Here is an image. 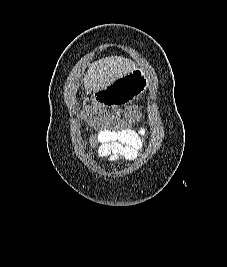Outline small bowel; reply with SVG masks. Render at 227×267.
Wrapping results in <instances>:
<instances>
[{
	"label": "small bowel",
	"mask_w": 227,
	"mask_h": 267,
	"mask_svg": "<svg viewBox=\"0 0 227 267\" xmlns=\"http://www.w3.org/2000/svg\"><path fill=\"white\" fill-rule=\"evenodd\" d=\"M147 134L148 129L144 126L138 130H100L89 138V143L101 158L109 161L134 160L139 156L143 146L142 139Z\"/></svg>",
	"instance_id": "1"
}]
</instances>
